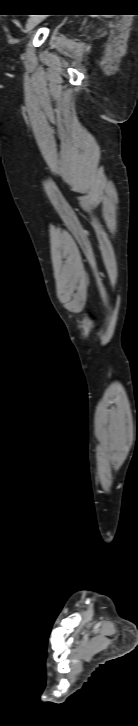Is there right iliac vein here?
<instances>
[{"label":"right iliac vein","mask_w":138,"mask_h":726,"mask_svg":"<svg viewBox=\"0 0 138 726\" xmlns=\"http://www.w3.org/2000/svg\"><path fill=\"white\" fill-rule=\"evenodd\" d=\"M42 17L39 15H34L30 17L26 23L25 30L30 31L32 30L39 22H41Z\"/></svg>","instance_id":"63e3f726"}]
</instances>
